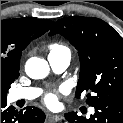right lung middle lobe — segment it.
<instances>
[{
	"mask_svg": "<svg viewBox=\"0 0 123 123\" xmlns=\"http://www.w3.org/2000/svg\"><path fill=\"white\" fill-rule=\"evenodd\" d=\"M6 94H7V92L2 93L1 98H6Z\"/></svg>",
	"mask_w": 123,
	"mask_h": 123,
	"instance_id": "obj_1",
	"label": "right lung middle lobe"
}]
</instances>
